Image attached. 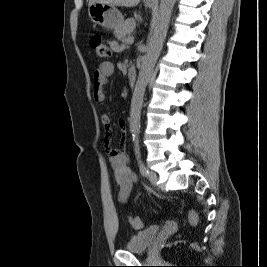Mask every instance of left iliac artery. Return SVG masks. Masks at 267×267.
<instances>
[{
  "mask_svg": "<svg viewBox=\"0 0 267 267\" xmlns=\"http://www.w3.org/2000/svg\"><path fill=\"white\" fill-rule=\"evenodd\" d=\"M135 155H136V159L138 161L139 170H140L141 175L143 177L147 176L148 170L146 169L144 163L141 160V152H140V147H139L138 141L135 142Z\"/></svg>",
  "mask_w": 267,
  "mask_h": 267,
  "instance_id": "1",
  "label": "left iliac artery"
}]
</instances>
